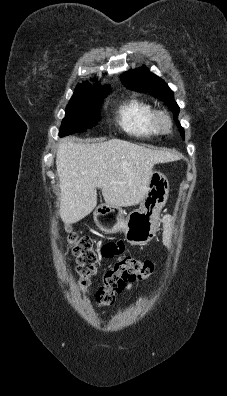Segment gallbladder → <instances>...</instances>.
<instances>
[{
	"instance_id": "1",
	"label": "gallbladder",
	"mask_w": 227,
	"mask_h": 396,
	"mask_svg": "<svg viewBox=\"0 0 227 396\" xmlns=\"http://www.w3.org/2000/svg\"><path fill=\"white\" fill-rule=\"evenodd\" d=\"M65 230H66L67 232H69V231L72 230V228H71L70 225L66 224V225H65Z\"/></svg>"
}]
</instances>
